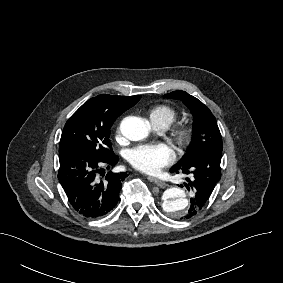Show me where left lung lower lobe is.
I'll use <instances>...</instances> for the list:
<instances>
[{"mask_svg":"<svg viewBox=\"0 0 283 283\" xmlns=\"http://www.w3.org/2000/svg\"><path fill=\"white\" fill-rule=\"evenodd\" d=\"M221 156L222 151H211L200 155L197 159L187 165L177 164L170 172L179 171L190 174L191 179L187 178L188 185L193 191L190 199V208L186 218L196 215L207 204L209 197L221 178Z\"/></svg>","mask_w":283,"mask_h":283,"instance_id":"0a47b994","label":"left lung lower lobe"}]
</instances>
